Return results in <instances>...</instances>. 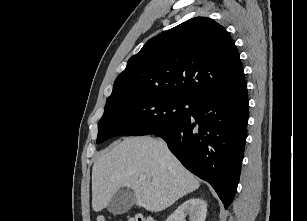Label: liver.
Here are the masks:
<instances>
[{"label": "liver", "instance_id": "obj_1", "mask_svg": "<svg viewBox=\"0 0 307 221\" xmlns=\"http://www.w3.org/2000/svg\"><path fill=\"white\" fill-rule=\"evenodd\" d=\"M146 179H140V175ZM199 180L169 151L164 141L129 137L103 152L92 168V207L104 209L121 188L134 191L135 203L162 211L198 189Z\"/></svg>", "mask_w": 307, "mask_h": 221}]
</instances>
